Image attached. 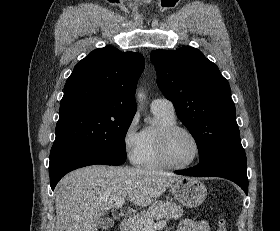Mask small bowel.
Returning <instances> with one entry per match:
<instances>
[{"label":"small bowel","instance_id":"obj_1","mask_svg":"<svg viewBox=\"0 0 280 231\" xmlns=\"http://www.w3.org/2000/svg\"><path fill=\"white\" fill-rule=\"evenodd\" d=\"M177 231H209L208 223L205 220L183 219L180 221Z\"/></svg>","mask_w":280,"mask_h":231}]
</instances>
